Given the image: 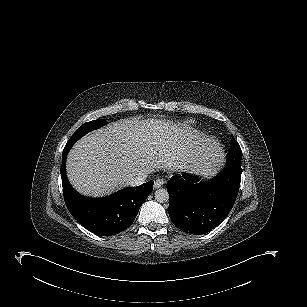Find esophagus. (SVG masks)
<instances>
[{
  "mask_svg": "<svg viewBox=\"0 0 307 307\" xmlns=\"http://www.w3.org/2000/svg\"><path fill=\"white\" fill-rule=\"evenodd\" d=\"M165 183V180L162 178H159L155 181L154 187L155 188H160L163 184Z\"/></svg>",
  "mask_w": 307,
  "mask_h": 307,
  "instance_id": "obj_1",
  "label": "esophagus"
}]
</instances>
